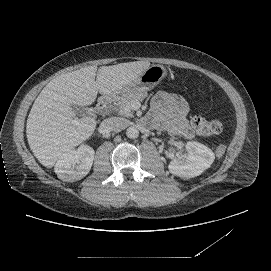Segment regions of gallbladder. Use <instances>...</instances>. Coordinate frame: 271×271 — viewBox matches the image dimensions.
Returning a JSON list of instances; mask_svg holds the SVG:
<instances>
[{
    "instance_id": "1",
    "label": "gallbladder",
    "mask_w": 271,
    "mask_h": 271,
    "mask_svg": "<svg viewBox=\"0 0 271 271\" xmlns=\"http://www.w3.org/2000/svg\"><path fill=\"white\" fill-rule=\"evenodd\" d=\"M70 107H71L75 112H77V113H79V112H85V111H86L85 108L80 107V106L75 105V104H71Z\"/></svg>"
}]
</instances>
